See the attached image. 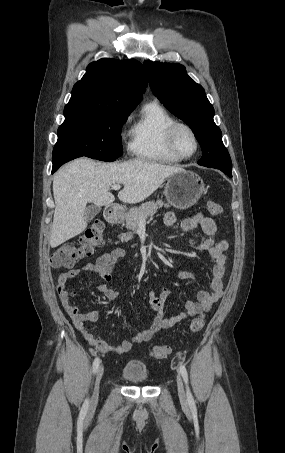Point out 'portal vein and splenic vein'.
Masks as SVG:
<instances>
[{"label":"portal vein and splenic vein","mask_w":285,"mask_h":453,"mask_svg":"<svg viewBox=\"0 0 285 453\" xmlns=\"http://www.w3.org/2000/svg\"><path fill=\"white\" fill-rule=\"evenodd\" d=\"M120 188H121V185H120V184H114V185L112 186V189H113V190H119Z\"/></svg>","instance_id":"portal-vein-and-splenic-vein-1"}]
</instances>
